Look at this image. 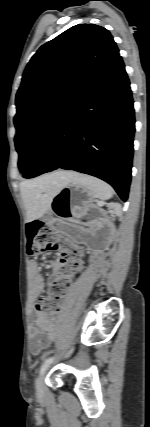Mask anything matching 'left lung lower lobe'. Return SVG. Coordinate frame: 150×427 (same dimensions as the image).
<instances>
[{
  "label": "left lung lower lobe",
  "mask_w": 150,
  "mask_h": 427,
  "mask_svg": "<svg viewBox=\"0 0 150 427\" xmlns=\"http://www.w3.org/2000/svg\"><path fill=\"white\" fill-rule=\"evenodd\" d=\"M135 118L130 83L117 52L83 86L52 127L24 178L58 168L98 177L128 198Z\"/></svg>",
  "instance_id": "obj_1"
}]
</instances>
